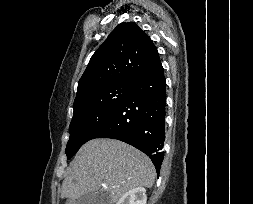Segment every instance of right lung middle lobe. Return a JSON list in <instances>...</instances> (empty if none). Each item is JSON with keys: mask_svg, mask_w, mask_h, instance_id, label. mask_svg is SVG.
I'll use <instances>...</instances> for the list:
<instances>
[{"mask_svg": "<svg viewBox=\"0 0 253 204\" xmlns=\"http://www.w3.org/2000/svg\"><path fill=\"white\" fill-rule=\"evenodd\" d=\"M132 83H118L90 92L73 104L70 139L66 147L70 159L107 122L127 96Z\"/></svg>", "mask_w": 253, "mask_h": 204, "instance_id": "obj_1", "label": "right lung middle lobe"}]
</instances>
